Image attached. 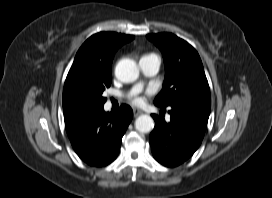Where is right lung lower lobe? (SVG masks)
Segmentation results:
<instances>
[{
    "instance_id": "obj_1",
    "label": "right lung lower lobe",
    "mask_w": 272,
    "mask_h": 198,
    "mask_svg": "<svg viewBox=\"0 0 272 198\" xmlns=\"http://www.w3.org/2000/svg\"><path fill=\"white\" fill-rule=\"evenodd\" d=\"M132 117L128 105H122L115 113L100 107L65 121V127L75 152L83 161L91 166H105L117 157Z\"/></svg>"
}]
</instances>
